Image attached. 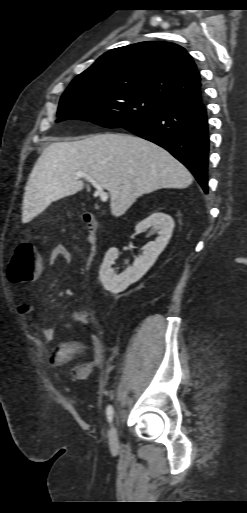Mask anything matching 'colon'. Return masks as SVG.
I'll use <instances>...</instances> for the list:
<instances>
[{
	"instance_id": "5ec220e1",
	"label": "colon",
	"mask_w": 247,
	"mask_h": 513,
	"mask_svg": "<svg viewBox=\"0 0 247 513\" xmlns=\"http://www.w3.org/2000/svg\"><path fill=\"white\" fill-rule=\"evenodd\" d=\"M41 267L33 244L22 242L14 250L8 266V278L14 284L28 282L41 271Z\"/></svg>"
}]
</instances>
